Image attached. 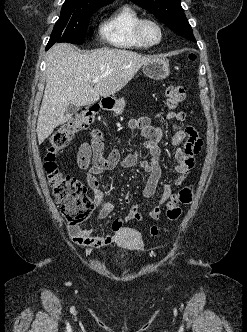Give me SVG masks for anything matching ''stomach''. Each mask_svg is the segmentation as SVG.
Wrapping results in <instances>:
<instances>
[{
  "label": "stomach",
  "instance_id": "obj_1",
  "mask_svg": "<svg viewBox=\"0 0 247 332\" xmlns=\"http://www.w3.org/2000/svg\"><path fill=\"white\" fill-rule=\"evenodd\" d=\"M143 73L152 79L163 80L170 73L169 62L164 58H154L143 66Z\"/></svg>",
  "mask_w": 247,
  "mask_h": 332
}]
</instances>
